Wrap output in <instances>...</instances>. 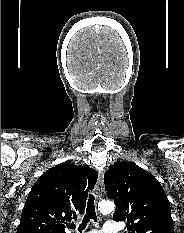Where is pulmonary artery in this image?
<instances>
[{
    "label": "pulmonary artery",
    "mask_w": 184,
    "mask_h": 233,
    "mask_svg": "<svg viewBox=\"0 0 184 233\" xmlns=\"http://www.w3.org/2000/svg\"><path fill=\"white\" fill-rule=\"evenodd\" d=\"M118 224L115 221H106L101 230H93L89 233H118Z\"/></svg>",
    "instance_id": "e3ab8cb5"
}]
</instances>
